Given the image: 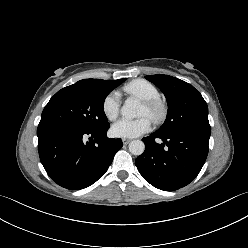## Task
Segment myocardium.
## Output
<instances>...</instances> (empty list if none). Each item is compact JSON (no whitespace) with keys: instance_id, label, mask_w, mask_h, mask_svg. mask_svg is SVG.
<instances>
[{"instance_id":"obj_1","label":"myocardium","mask_w":248,"mask_h":248,"mask_svg":"<svg viewBox=\"0 0 248 248\" xmlns=\"http://www.w3.org/2000/svg\"><path fill=\"white\" fill-rule=\"evenodd\" d=\"M147 115L155 122H161L166 115L165 104L160 99L143 101Z\"/></svg>"}]
</instances>
